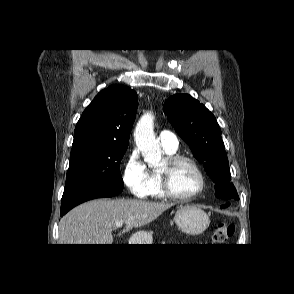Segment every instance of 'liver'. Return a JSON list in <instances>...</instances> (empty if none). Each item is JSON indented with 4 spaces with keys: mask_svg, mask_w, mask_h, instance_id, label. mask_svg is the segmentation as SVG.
I'll use <instances>...</instances> for the list:
<instances>
[{
    "mask_svg": "<svg viewBox=\"0 0 294 294\" xmlns=\"http://www.w3.org/2000/svg\"><path fill=\"white\" fill-rule=\"evenodd\" d=\"M173 205L137 199H97L83 203L61 219L59 244H112L116 222L125 223L123 234L152 222Z\"/></svg>",
    "mask_w": 294,
    "mask_h": 294,
    "instance_id": "liver-1",
    "label": "liver"
}]
</instances>
